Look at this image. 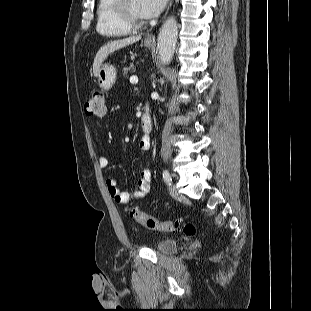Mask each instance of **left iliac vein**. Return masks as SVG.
Returning a JSON list of instances; mask_svg holds the SVG:
<instances>
[{"label": "left iliac vein", "instance_id": "4c4485c4", "mask_svg": "<svg viewBox=\"0 0 311 311\" xmlns=\"http://www.w3.org/2000/svg\"><path fill=\"white\" fill-rule=\"evenodd\" d=\"M169 192H170V195L173 198H180V197H182V194L178 191V189L175 187V185H170Z\"/></svg>", "mask_w": 311, "mask_h": 311}]
</instances>
